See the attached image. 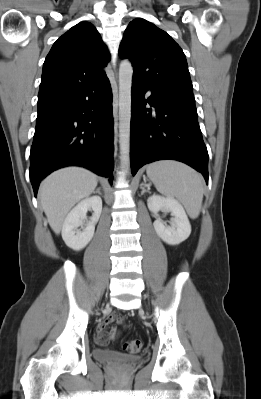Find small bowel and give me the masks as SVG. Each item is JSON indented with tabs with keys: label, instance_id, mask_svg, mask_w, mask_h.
Instances as JSON below:
<instances>
[{
	"label": "small bowel",
	"instance_id": "small-bowel-1",
	"mask_svg": "<svg viewBox=\"0 0 261 399\" xmlns=\"http://www.w3.org/2000/svg\"><path fill=\"white\" fill-rule=\"evenodd\" d=\"M123 317L115 312L107 316L98 326L96 331V341L100 345H107L111 340L118 336V331L110 327L113 323H123Z\"/></svg>",
	"mask_w": 261,
	"mask_h": 399
}]
</instances>
